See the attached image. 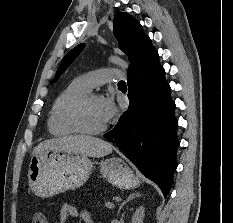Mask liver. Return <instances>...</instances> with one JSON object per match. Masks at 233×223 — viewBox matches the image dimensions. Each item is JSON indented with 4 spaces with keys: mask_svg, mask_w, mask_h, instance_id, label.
<instances>
[{
    "mask_svg": "<svg viewBox=\"0 0 233 223\" xmlns=\"http://www.w3.org/2000/svg\"><path fill=\"white\" fill-rule=\"evenodd\" d=\"M43 147H59L66 151H74L80 155H88V157H104L108 153H112L114 145L100 139V137H92V135H65V137H53V139H45L38 143L34 149V153H38Z\"/></svg>",
    "mask_w": 233,
    "mask_h": 223,
    "instance_id": "6515ba94",
    "label": "liver"
}]
</instances>
